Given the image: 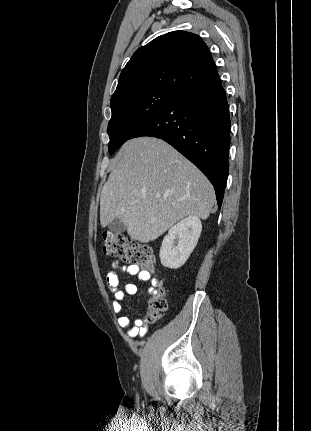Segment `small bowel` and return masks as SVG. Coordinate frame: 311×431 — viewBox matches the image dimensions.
Wrapping results in <instances>:
<instances>
[{
  "instance_id": "c3829d8e",
  "label": "small bowel",
  "mask_w": 311,
  "mask_h": 431,
  "mask_svg": "<svg viewBox=\"0 0 311 431\" xmlns=\"http://www.w3.org/2000/svg\"><path fill=\"white\" fill-rule=\"evenodd\" d=\"M113 267L123 272L136 276L141 282H148L151 280L149 271L142 270L137 265L121 266L118 262L113 263ZM106 281L109 289L114 293L113 310L115 313H120L122 310V302L126 295H135L137 293V286L133 283H127L122 288L119 287L120 275L117 270L108 272ZM156 289L150 287L148 294L153 296ZM119 326L128 328V335L130 337H143L147 331L146 320L144 317H137L133 322L127 316H120L118 318Z\"/></svg>"
}]
</instances>
